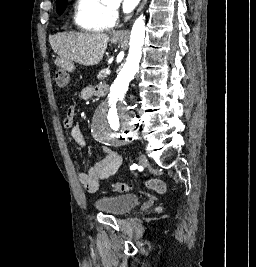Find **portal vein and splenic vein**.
Returning <instances> with one entry per match:
<instances>
[{"label": "portal vein and splenic vein", "mask_w": 256, "mask_h": 267, "mask_svg": "<svg viewBox=\"0 0 256 267\" xmlns=\"http://www.w3.org/2000/svg\"><path fill=\"white\" fill-rule=\"evenodd\" d=\"M105 73H106V74H109V73H110V68H107V69L105 70Z\"/></svg>", "instance_id": "18ae733b"}]
</instances>
